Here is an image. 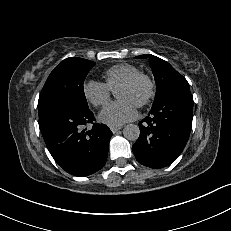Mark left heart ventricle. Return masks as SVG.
<instances>
[{"instance_id": "obj_1", "label": "left heart ventricle", "mask_w": 231, "mask_h": 231, "mask_svg": "<svg viewBox=\"0 0 231 231\" xmlns=\"http://www.w3.org/2000/svg\"><path fill=\"white\" fill-rule=\"evenodd\" d=\"M147 93V85L145 82H140L133 87H122L116 91V97L118 99H126L132 102L135 106L145 97Z\"/></svg>"}]
</instances>
